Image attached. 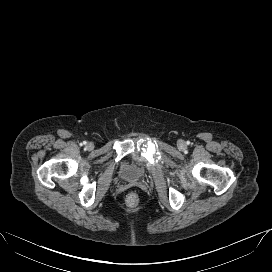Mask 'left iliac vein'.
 <instances>
[{"mask_svg": "<svg viewBox=\"0 0 272 272\" xmlns=\"http://www.w3.org/2000/svg\"><path fill=\"white\" fill-rule=\"evenodd\" d=\"M179 145H180V146H182V145H183V143L181 142V143H179Z\"/></svg>", "mask_w": 272, "mask_h": 272, "instance_id": "1", "label": "left iliac vein"}]
</instances>
